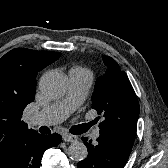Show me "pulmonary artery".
I'll list each match as a JSON object with an SVG mask.
<instances>
[{"mask_svg": "<svg viewBox=\"0 0 168 168\" xmlns=\"http://www.w3.org/2000/svg\"><path fill=\"white\" fill-rule=\"evenodd\" d=\"M68 77L69 86L65 97L33 115L30 120L32 126L60 123L82 104L92 84V74L88 70L75 68L69 71ZM99 135V129H95L92 138L97 139Z\"/></svg>", "mask_w": 168, "mask_h": 168, "instance_id": "1", "label": "pulmonary artery"}]
</instances>
